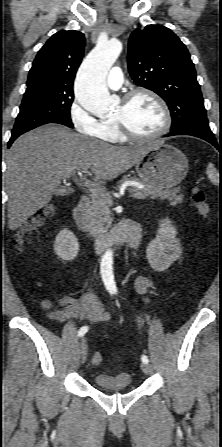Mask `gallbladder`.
<instances>
[{"label":"gallbladder","mask_w":222,"mask_h":447,"mask_svg":"<svg viewBox=\"0 0 222 447\" xmlns=\"http://www.w3.org/2000/svg\"><path fill=\"white\" fill-rule=\"evenodd\" d=\"M72 190L68 187H60L55 191L56 196H65L68 195Z\"/></svg>","instance_id":"gallbladder-1"}]
</instances>
